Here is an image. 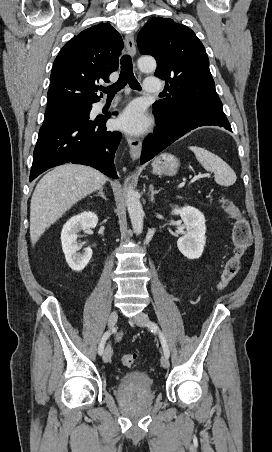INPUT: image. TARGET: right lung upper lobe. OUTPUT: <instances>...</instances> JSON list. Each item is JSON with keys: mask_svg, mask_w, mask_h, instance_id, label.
<instances>
[{"mask_svg": "<svg viewBox=\"0 0 272 452\" xmlns=\"http://www.w3.org/2000/svg\"><path fill=\"white\" fill-rule=\"evenodd\" d=\"M122 48L120 34L108 23L90 27L67 42L53 63L45 116L99 101L96 83L108 82L118 69Z\"/></svg>", "mask_w": 272, "mask_h": 452, "instance_id": "cb5924a9", "label": "right lung upper lobe"}]
</instances>
